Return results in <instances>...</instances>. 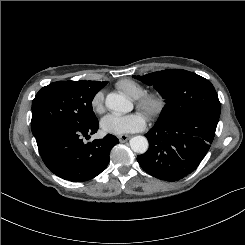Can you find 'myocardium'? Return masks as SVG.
<instances>
[{
  "instance_id": "myocardium-1",
  "label": "myocardium",
  "mask_w": 245,
  "mask_h": 245,
  "mask_svg": "<svg viewBox=\"0 0 245 245\" xmlns=\"http://www.w3.org/2000/svg\"><path fill=\"white\" fill-rule=\"evenodd\" d=\"M167 100L158 91L145 92L136 98V107L144 113L150 121L158 119L165 111Z\"/></svg>"
}]
</instances>
